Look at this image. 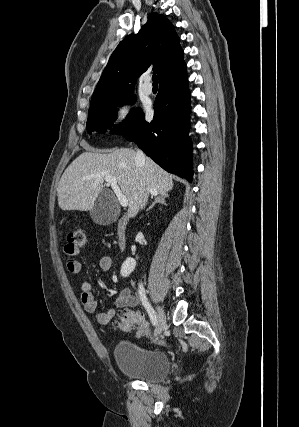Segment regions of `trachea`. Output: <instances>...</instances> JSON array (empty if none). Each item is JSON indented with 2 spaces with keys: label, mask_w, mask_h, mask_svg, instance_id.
<instances>
[{
  "label": "trachea",
  "mask_w": 299,
  "mask_h": 427,
  "mask_svg": "<svg viewBox=\"0 0 299 427\" xmlns=\"http://www.w3.org/2000/svg\"><path fill=\"white\" fill-rule=\"evenodd\" d=\"M152 81H153V84H158V80H157V76L156 75L152 76Z\"/></svg>",
  "instance_id": "trachea-1"
}]
</instances>
